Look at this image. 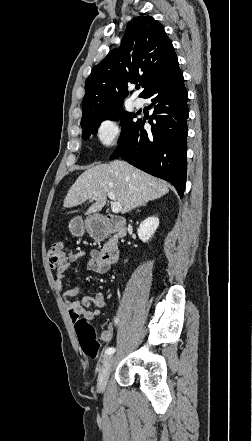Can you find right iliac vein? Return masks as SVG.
I'll return each mask as SVG.
<instances>
[{"label":"right iliac vein","mask_w":252,"mask_h":441,"mask_svg":"<svg viewBox=\"0 0 252 441\" xmlns=\"http://www.w3.org/2000/svg\"><path fill=\"white\" fill-rule=\"evenodd\" d=\"M114 363V357L112 355H107L103 359L102 366L99 370L98 374V380H97V387L98 390L103 392L107 383L109 372L113 366Z\"/></svg>","instance_id":"obj_1"}]
</instances>
